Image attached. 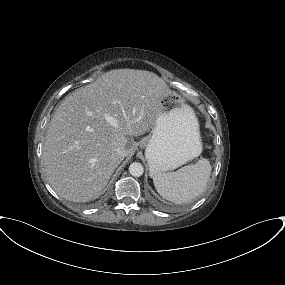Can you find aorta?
Wrapping results in <instances>:
<instances>
[{"instance_id":"762f6f07","label":"aorta","mask_w":285,"mask_h":285,"mask_svg":"<svg viewBox=\"0 0 285 285\" xmlns=\"http://www.w3.org/2000/svg\"><path fill=\"white\" fill-rule=\"evenodd\" d=\"M129 172L133 177H140L144 173L143 165L139 162H133L129 166Z\"/></svg>"}]
</instances>
